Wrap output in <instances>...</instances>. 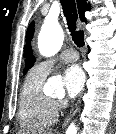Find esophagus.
Segmentation results:
<instances>
[{
    "label": "esophagus",
    "instance_id": "34e87169",
    "mask_svg": "<svg viewBox=\"0 0 116 134\" xmlns=\"http://www.w3.org/2000/svg\"><path fill=\"white\" fill-rule=\"evenodd\" d=\"M80 103H81V98H79L75 104V106L72 108V110L70 111L69 115L66 117V119L63 122V126H66L69 121L75 116V114L77 113V111L79 110L80 107Z\"/></svg>",
    "mask_w": 116,
    "mask_h": 134
}]
</instances>
